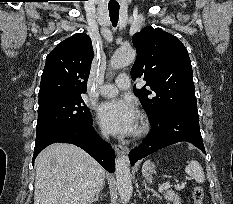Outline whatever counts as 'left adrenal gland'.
<instances>
[{"label":"left adrenal gland","instance_id":"obj_1","mask_svg":"<svg viewBox=\"0 0 233 204\" xmlns=\"http://www.w3.org/2000/svg\"><path fill=\"white\" fill-rule=\"evenodd\" d=\"M143 184H144V186H145V190H147V191H152V189H150V188L147 186V184H146L145 181H143ZM154 195L157 196V197H159V195H158L157 193H155V192H154Z\"/></svg>","mask_w":233,"mask_h":204}]
</instances>
